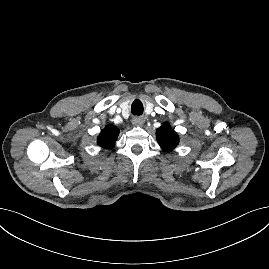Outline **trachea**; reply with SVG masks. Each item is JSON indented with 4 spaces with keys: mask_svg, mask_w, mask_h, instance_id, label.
<instances>
[{
    "mask_svg": "<svg viewBox=\"0 0 269 269\" xmlns=\"http://www.w3.org/2000/svg\"><path fill=\"white\" fill-rule=\"evenodd\" d=\"M131 112L133 115H141L143 113V105L139 100H135L131 106Z\"/></svg>",
    "mask_w": 269,
    "mask_h": 269,
    "instance_id": "obj_1",
    "label": "trachea"
}]
</instances>
